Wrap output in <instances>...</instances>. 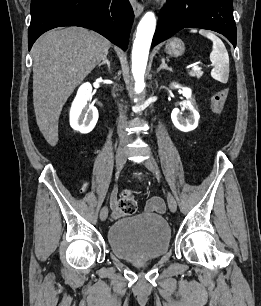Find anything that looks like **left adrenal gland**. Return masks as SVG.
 Wrapping results in <instances>:
<instances>
[{
  "mask_svg": "<svg viewBox=\"0 0 261 306\" xmlns=\"http://www.w3.org/2000/svg\"><path fill=\"white\" fill-rule=\"evenodd\" d=\"M161 65H160V67L157 69V72H159L160 70H162V69H166V70H169V71H172V68H170V67H168L167 65H166V63H165V59L164 58H162L161 59Z\"/></svg>",
  "mask_w": 261,
  "mask_h": 306,
  "instance_id": "1",
  "label": "left adrenal gland"
}]
</instances>
